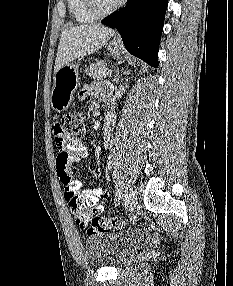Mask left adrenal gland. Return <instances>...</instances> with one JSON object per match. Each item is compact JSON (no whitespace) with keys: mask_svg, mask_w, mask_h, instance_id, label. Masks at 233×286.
I'll return each instance as SVG.
<instances>
[{"mask_svg":"<svg viewBox=\"0 0 233 286\" xmlns=\"http://www.w3.org/2000/svg\"><path fill=\"white\" fill-rule=\"evenodd\" d=\"M119 73H117L116 77H115V81L118 83L119 82Z\"/></svg>","mask_w":233,"mask_h":286,"instance_id":"left-adrenal-gland-1","label":"left adrenal gland"}]
</instances>
